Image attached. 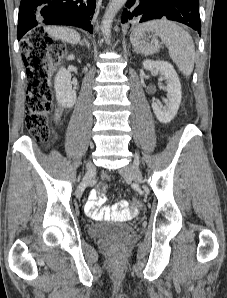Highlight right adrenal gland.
<instances>
[{
  "label": "right adrenal gland",
  "mask_w": 227,
  "mask_h": 298,
  "mask_svg": "<svg viewBox=\"0 0 227 298\" xmlns=\"http://www.w3.org/2000/svg\"><path fill=\"white\" fill-rule=\"evenodd\" d=\"M81 45H86L88 49H90V44L89 42L84 38Z\"/></svg>",
  "instance_id": "obj_1"
}]
</instances>
